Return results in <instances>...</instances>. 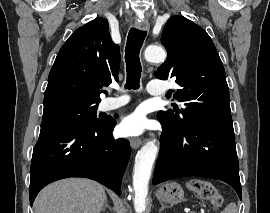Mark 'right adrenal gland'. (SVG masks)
<instances>
[{"instance_id": "1", "label": "right adrenal gland", "mask_w": 270, "mask_h": 213, "mask_svg": "<svg viewBox=\"0 0 270 213\" xmlns=\"http://www.w3.org/2000/svg\"><path fill=\"white\" fill-rule=\"evenodd\" d=\"M106 208H108L109 210H112L111 207L108 205L107 200L105 201L104 206L102 207V210L104 211Z\"/></svg>"}]
</instances>
